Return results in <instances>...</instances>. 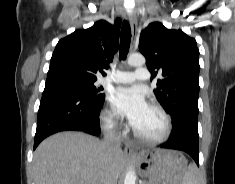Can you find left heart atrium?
<instances>
[{
  "label": "left heart atrium",
  "mask_w": 235,
  "mask_h": 184,
  "mask_svg": "<svg viewBox=\"0 0 235 184\" xmlns=\"http://www.w3.org/2000/svg\"><path fill=\"white\" fill-rule=\"evenodd\" d=\"M108 99L114 115L126 118L133 128L149 108L144 93L139 89L117 88L109 94Z\"/></svg>",
  "instance_id": "obj_1"
}]
</instances>
